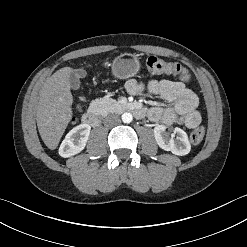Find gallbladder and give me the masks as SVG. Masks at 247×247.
<instances>
[{
  "instance_id": "obj_1",
  "label": "gallbladder",
  "mask_w": 247,
  "mask_h": 247,
  "mask_svg": "<svg viewBox=\"0 0 247 247\" xmlns=\"http://www.w3.org/2000/svg\"><path fill=\"white\" fill-rule=\"evenodd\" d=\"M81 76H85V73L84 72H73L69 79H70V85H71V88L74 89V90H78L80 88V77Z\"/></svg>"
}]
</instances>
